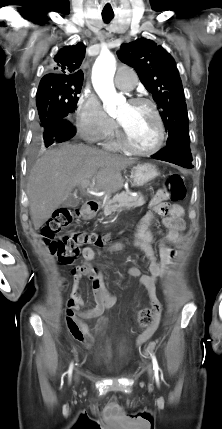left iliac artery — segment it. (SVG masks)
Instances as JSON below:
<instances>
[{
  "instance_id": "obj_1",
  "label": "left iliac artery",
  "mask_w": 222,
  "mask_h": 429,
  "mask_svg": "<svg viewBox=\"0 0 222 429\" xmlns=\"http://www.w3.org/2000/svg\"><path fill=\"white\" fill-rule=\"evenodd\" d=\"M151 358H152V363H153V370H154V374H155V378L158 380V371H159V366H158V362L156 359V356L154 353L151 354Z\"/></svg>"
}]
</instances>
